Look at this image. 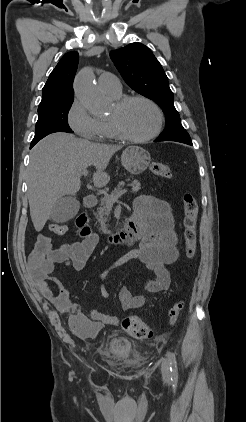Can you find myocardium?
I'll list each match as a JSON object with an SVG mask.
<instances>
[{
  "mask_svg": "<svg viewBox=\"0 0 246 422\" xmlns=\"http://www.w3.org/2000/svg\"><path fill=\"white\" fill-rule=\"evenodd\" d=\"M134 101H142L149 104L155 110L157 114L156 127L150 134L143 137H136L128 133L122 127V125L117 119H109V122L111 123L112 127L114 128V130L116 131V133L118 134L120 138L132 143H145L154 139L156 136L160 134L164 125V114L160 106L154 100L143 95H128V96L120 97L115 101V106L120 110Z\"/></svg>",
  "mask_w": 246,
  "mask_h": 422,
  "instance_id": "obj_1",
  "label": "myocardium"
}]
</instances>
